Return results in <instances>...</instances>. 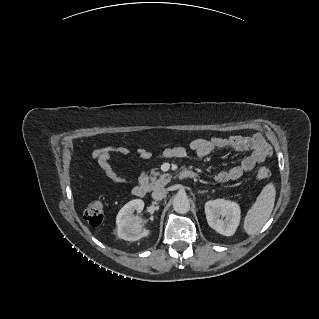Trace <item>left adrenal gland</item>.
Wrapping results in <instances>:
<instances>
[{"label": "left adrenal gland", "instance_id": "a2214340", "mask_svg": "<svg viewBox=\"0 0 319 319\" xmlns=\"http://www.w3.org/2000/svg\"><path fill=\"white\" fill-rule=\"evenodd\" d=\"M205 192H207V191H205V190H203V191H199V193H205Z\"/></svg>", "mask_w": 319, "mask_h": 319}]
</instances>
